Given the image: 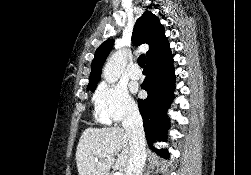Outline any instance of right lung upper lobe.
<instances>
[{
	"mask_svg": "<svg viewBox=\"0 0 251 175\" xmlns=\"http://www.w3.org/2000/svg\"><path fill=\"white\" fill-rule=\"evenodd\" d=\"M132 42L135 45L147 44L149 50L146 52V64H154L171 55L169 43L165 36L164 27L159 19L150 11H146L137 19L133 33ZM113 39L106 40L96 50L92 61L90 80L88 88H96L101 78L102 66L112 49Z\"/></svg>",
	"mask_w": 251,
	"mask_h": 175,
	"instance_id": "cb5924a9",
	"label": "right lung upper lobe"
}]
</instances>
